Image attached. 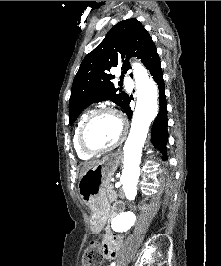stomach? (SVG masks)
Masks as SVG:
<instances>
[{"mask_svg":"<svg viewBox=\"0 0 221 266\" xmlns=\"http://www.w3.org/2000/svg\"><path fill=\"white\" fill-rule=\"evenodd\" d=\"M120 162L116 153L104 156L79 179L78 192L81 200L91 209L90 225L96 230L103 223L108 209L106 187L110 184Z\"/></svg>","mask_w":221,"mask_h":266,"instance_id":"stomach-1","label":"stomach"}]
</instances>
